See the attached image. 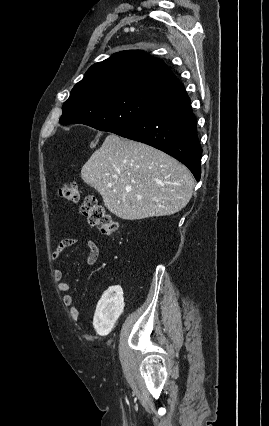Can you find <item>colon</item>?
I'll return each mask as SVG.
<instances>
[{"instance_id": "obj_1", "label": "colon", "mask_w": 269, "mask_h": 426, "mask_svg": "<svg viewBox=\"0 0 269 426\" xmlns=\"http://www.w3.org/2000/svg\"><path fill=\"white\" fill-rule=\"evenodd\" d=\"M59 196L67 202H80V213L87 219L91 226L98 228L103 235L110 236L117 232V222L106 212L97 198L89 195L81 199L74 181L64 182L59 188Z\"/></svg>"}]
</instances>
